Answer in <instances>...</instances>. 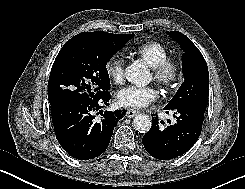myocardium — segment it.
I'll return each instance as SVG.
<instances>
[{
  "label": "myocardium",
  "mask_w": 245,
  "mask_h": 189,
  "mask_svg": "<svg viewBox=\"0 0 245 189\" xmlns=\"http://www.w3.org/2000/svg\"><path fill=\"white\" fill-rule=\"evenodd\" d=\"M181 65L172 58H167L152 68V76L163 88L174 84L180 77Z\"/></svg>",
  "instance_id": "obj_1"
}]
</instances>
